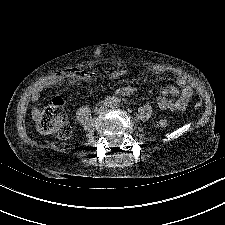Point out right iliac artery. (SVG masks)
<instances>
[{
	"instance_id": "right-iliac-artery-1",
	"label": "right iliac artery",
	"mask_w": 225,
	"mask_h": 225,
	"mask_svg": "<svg viewBox=\"0 0 225 225\" xmlns=\"http://www.w3.org/2000/svg\"><path fill=\"white\" fill-rule=\"evenodd\" d=\"M114 101H115V99L114 98H107L106 100H105V104L107 105V106H112L113 105V103H114Z\"/></svg>"
}]
</instances>
